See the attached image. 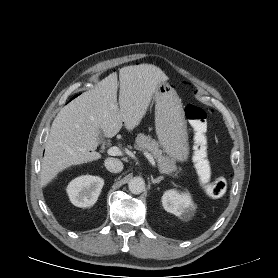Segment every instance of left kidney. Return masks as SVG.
Instances as JSON below:
<instances>
[{
	"instance_id": "obj_1",
	"label": "left kidney",
	"mask_w": 278,
	"mask_h": 278,
	"mask_svg": "<svg viewBox=\"0 0 278 278\" xmlns=\"http://www.w3.org/2000/svg\"><path fill=\"white\" fill-rule=\"evenodd\" d=\"M164 209L182 220H189L196 206L191 200L189 193L179 194L176 190H168L162 196Z\"/></svg>"
}]
</instances>
